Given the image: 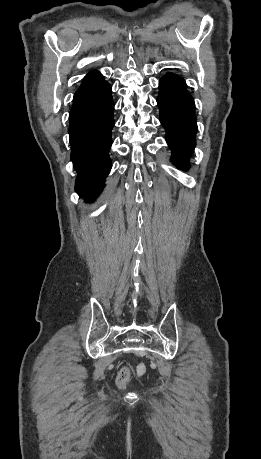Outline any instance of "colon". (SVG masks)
<instances>
[{"mask_svg":"<svg viewBox=\"0 0 261 459\" xmlns=\"http://www.w3.org/2000/svg\"><path fill=\"white\" fill-rule=\"evenodd\" d=\"M130 378V370L128 368H123L119 372L117 379H116V384L120 389H123L127 382L129 381Z\"/></svg>","mask_w":261,"mask_h":459,"instance_id":"1","label":"colon"}]
</instances>
